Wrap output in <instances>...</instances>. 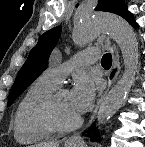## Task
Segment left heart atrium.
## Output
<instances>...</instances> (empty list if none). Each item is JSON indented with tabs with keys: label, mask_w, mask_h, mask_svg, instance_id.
Listing matches in <instances>:
<instances>
[{
	"label": "left heart atrium",
	"mask_w": 145,
	"mask_h": 147,
	"mask_svg": "<svg viewBox=\"0 0 145 147\" xmlns=\"http://www.w3.org/2000/svg\"><path fill=\"white\" fill-rule=\"evenodd\" d=\"M96 95V86L91 78L86 75L77 77L74 87L70 92L72 106L80 116L91 106Z\"/></svg>",
	"instance_id": "39dd6f15"
}]
</instances>
